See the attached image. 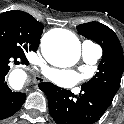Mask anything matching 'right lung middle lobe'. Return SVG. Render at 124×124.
<instances>
[{
    "label": "right lung middle lobe",
    "instance_id": "obj_1",
    "mask_svg": "<svg viewBox=\"0 0 124 124\" xmlns=\"http://www.w3.org/2000/svg\"><path fill=\"white\" fill-rule=\"evenodd\" d=\"M39 37L33 35L27 23L6 12L0 14V51L26 58L28 51H36Z\"/></svg>",
    "mask_w": 124,
    "mask_h": 124
}]
</instances>
